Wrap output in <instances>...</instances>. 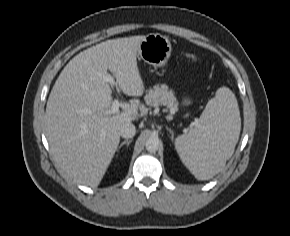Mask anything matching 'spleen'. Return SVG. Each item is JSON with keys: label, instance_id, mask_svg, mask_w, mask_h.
I'll return each mask as SVG.
<instances>
[{"label": "spleen", "instance_id": "1", "mask_svg": "<svg viewBox=\"0 0 290 236\" xmlns=\"http://www.w3.org/2000/svg\"><path fill=\"white\" fill-rule=\"evenodd\" d=\"M240 129L237 99L229 88L221 87L208 101L196 127L176 138L175 148L195 178L208 180L233 155Z\"/></svg>", "mask_w": 290, "mask_h": 236}]
</instances>
